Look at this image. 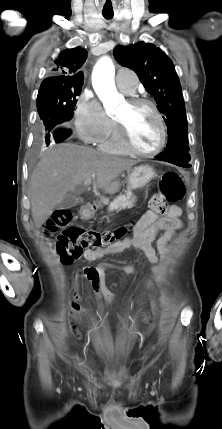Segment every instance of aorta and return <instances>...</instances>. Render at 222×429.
Masks as SVG:
<instances>
[{"label":"aorta","mask_w":222,"mask_h":429,"mask_svg":"<svg viewBox=\"0 0 222 429\" xmlns=\"http://www.w3.org/2000/svg\"><path fill=\"white\" fill-rule=\"evenodd\" d=\"M114 76L112 60L107 56L102 57L94 67L92 84L108 114L114 113L124 101L123 96L117 92Z\"/></svg>","instance_id":"762f6f07"}]
</instances>
